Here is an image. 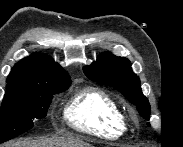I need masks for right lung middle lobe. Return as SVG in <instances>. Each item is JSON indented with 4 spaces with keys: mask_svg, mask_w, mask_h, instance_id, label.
<instances>
[{
    "mask_svg": "<svg viewBox=\"0 0 183 147\" xmlns=\"http://www.w3.org/2000/svg\"><path fill=\"white\" fill-rule=\"evenodd\" d=\"M63 87L25 86L7 88L0 111V143L10 140L33 127V121L46 116L52 95Z\"/></svg>",
    "mask_w": 183,
    "mask_h": 147,
    "instance_id": "obj_1",
    "label": "right lung middle lobe"
}]
</instances>
